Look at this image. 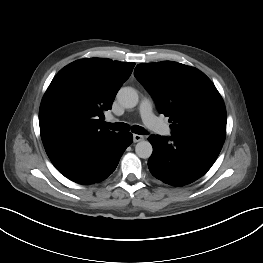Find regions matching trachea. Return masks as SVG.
Here are the masks:
<instances>
[{
  "label": "trachea",
  "mask_w": 263,
  "mask_h": 263,
  "mask_svg": "<svg viewBox=\"0 0 263 263\" xmlns=\"http://www.w3.org/2000/svg\"><path fill=\"white\" fill-rule=\"evenodd\" d=\"M105 126L114 131H129L130 130V126L126 123H105ZM131 131L139 135L147 134L145 129L138 125L132 126Z\"/></svg>",
  "instance_id": "1"
}]
</instances>
